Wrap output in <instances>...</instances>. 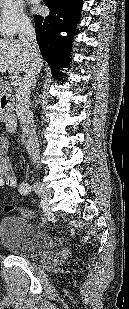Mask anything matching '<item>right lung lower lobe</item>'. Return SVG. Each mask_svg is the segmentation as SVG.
<instances>
[{
  "instance_id": "right-lung-lower-lobe-1",
  "label": "right lung lower lobe",
  "mask_w": 129,
  "mask_h": 309,
  "mask_svg": "<svg viewBox=\"0 0 129 309\" xmlns=\"http://www.w3.org/2000/svg\"><path fill=\"white\" fill-rule=\"evenodd\" d=\"M50 9L47 17L36 16V40L44 59L50 65L53 76L68 64L70 34L78 20L81 3L79 0H44ZM62 18V19H61ZM61 32H67L66 37Z\"/></svg>"
}]
</instances>
